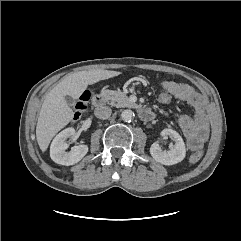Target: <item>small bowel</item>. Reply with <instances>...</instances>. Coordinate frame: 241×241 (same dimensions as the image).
Instances as JSON below:
<instances>
[{"instance_id":"obj_1","label":"small bowel","mask_w":241,"mask_h":241,"mask_svg":"<svg viewBox=\"0 0 241 241\" xmlns=\"http://www.w3.org/2000/svg\"><path fill=\"white\" fill-rule=\"evenodd\" d=\"M161 86L169 91L174 99L183 101L191 107L193 115H181L178 123L188 148L192 151L199 150L209 133L206 109L200 94L192 86L175 81H163Z\"/></svg>"}]
</instances>
